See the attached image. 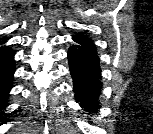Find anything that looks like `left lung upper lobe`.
I'll return each instance as SVG.
<instances>
[{
	"mask_svg": "<svg viewBox=\"0 0 153 134\" xmlns=\"http://www.w3.org/2000/svg\"><path fill=\"white\" fill-rule=\"evenodd\" d=\"M73 39L75 42H78L80 44L95 48V45L92 42V40H90L87 36H84L83 34L74 35Z\"/></svg>",
	"mask_w": 153,
	"mask_h": 134,
	"instance_id": "5c2ea615",
	"label": "left lung upper lobe"
}]
</instances>
